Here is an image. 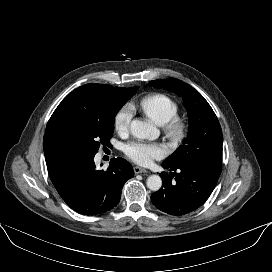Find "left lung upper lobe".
<instances>
[{"mask_svg": "<svg viewBox=\"0 0 272 272\" xmlns=\"http://www.w3.org/2000/svg\"><path fill=\"white\" fill-rule=\"evenodd\" d=\"M150 85L182 97L189 117V131L185 142L164 163H189L220 174L222 130L209 103L196 89L175 78L157 79L151 81Z\"/></svg>", "mask_w": 272, "mask_h": 272, "instance_id": "5c2ea615", "label": "left lung upper lobe"}]
</instances>
